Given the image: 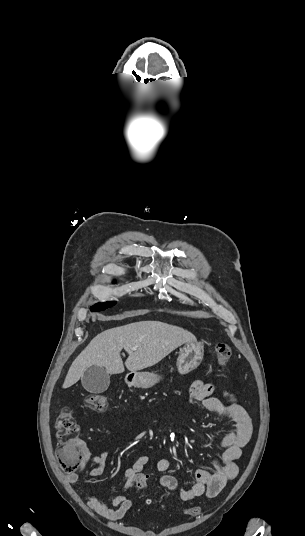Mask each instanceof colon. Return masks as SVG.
I'll return each mask as SVG.
<instances>
[{"instance_id": "obj_1", "label": "colon", "mask_w": 305, "mask_h": 536, "mask_svg": "<svg viewBox=\"0 0 305 536\" xmlns=\"http://www.w3.org/2000/svg\"><path fill=\"white\" fill-rule=\"evenodd\" d=\"M213 354L216 358V362L219 366H225L230 358V347L227 342L217 341L213 345ZM85 405L92 411L103 412L108 407V399L101 394H89L85 397ZM56 438L58 441H64L63 443H57L55 450L57 452V460L61 462L62 471L71 472L78 471L80 453L84 451L79 435H76L79 431V425L76 421L74 413L70 409H63L57 416L56 423ZM134 480L131 483L133 490H140L141 495L146 497L148 495L145 477L143 474L138 473L135 475ZM190 518L195 519L198 517L199 512L197 509L192 508L190 504L185 506Z\"/></svg>"}]
</instances>
